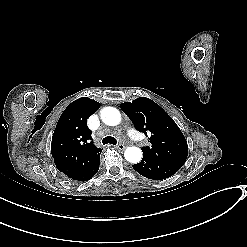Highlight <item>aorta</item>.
I'll list each match as a JSON object with an SVG mask.
<instances>
[{
	"instance_id": "obj_1",
	"label": "aorta",
	"mask_w": 247,
	"mask_h": 247,
	"mask_svg": "<svg viewBox=\"0 0 247 247\" xmlns=\"http://www.w3.org/2000/svg\"><path fill=\"white\" fill-rule=\"evenodd\" d=\"M100 117L109 126H116L121 122V114L114 107H104L101 110ZM124 157L128 162L137 164L142 159V151L135 146L128 147L124 152Z\"/></svg>"
}]
</instances>
